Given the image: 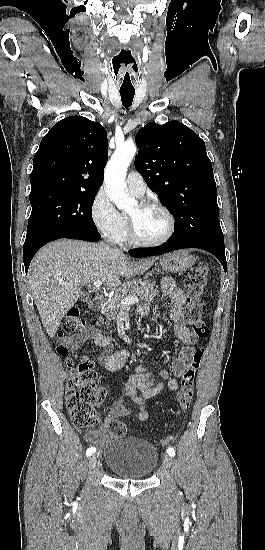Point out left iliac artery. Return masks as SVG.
Segmentation results:
<instances>
[{"instance_id":"44dca946","label":"left iliac artery","mask_w":265,"mask_h":550,"mask_svg":"<svg viewBox=\"0 0 265 550\" xmlns=\"http://www.w3.org/2000/svg\"><path fill=\"white\" fill-rule=\"evenodd\" d=\"M167 453L173 457L175 455V450L172 448V447H168L167 449Z\"/></svg>"}]
</instances>
